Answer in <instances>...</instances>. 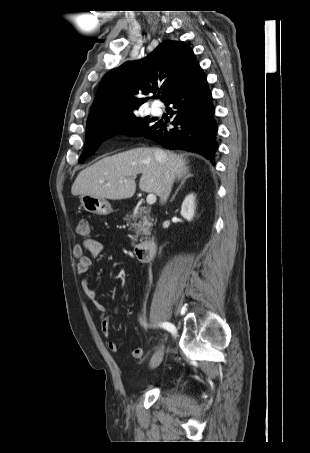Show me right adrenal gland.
<instances>
[{"instance_id": "1", "label": "right adrenal gland", "mask_w": 310, "mask_h": 453, "mask_svg": "<svg viewBox=\"0 0 310 453\" xmlns=\"http://www.w3.org/2000/svg\"><path fill=\"white\" fill-rule=\"evenodd\" d=\"M194 175L190 173V170L187 169L183 174L182 176L180 177L181 178V183L180 185L178 186L177 190L175 191V193L173 194V196L171 197V200L170 202H172L174 199H175V196L177 195L178 191L181 189L182 185L184 184V182L186 181V179L190 178V177H193Z\"/></svg>"}]
</instances>
